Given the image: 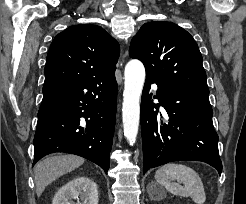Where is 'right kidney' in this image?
Segmentation results:
<instances>
[{"instance_id": "right-kidney-1", "label": "right kidney", "mask_w": 246, "mask_h": 204, "mask_svg": "<svg viewBox=\"0 0 246 204\" xmlns=\"http://www.w3.org/2000/svg\"><path fill=\"white\" fill-rule=\"evenodd\" d=\"M52 204H98V187L88 177H76L57 191Z\"/></svg>"}]
</instances>
